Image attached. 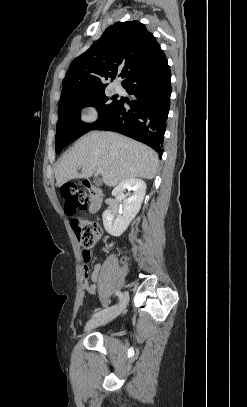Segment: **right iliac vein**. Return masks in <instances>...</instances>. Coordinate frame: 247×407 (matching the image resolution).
<instances>
[{
    "label": "right iliac vein",
    "instance_id": "obj_1",
    "mask_svg": "<svg viewBox=\"0 0 247 407\" xmlns=\"http://www.w3.org/2000/svg\"><path fill=\"white\" fill-rule=\"evenodd\" d=\"M128 300H129L128 293H125V296H124L123 300L120 302V304L117 307H115L114 309H112L108 313H105L103 315H100V316H98L96 318L91 319L86 324L84 330L89 331V330H91V329H93L95 327L102 326V325L108 323L109 321H112L113 319H115L126 308Z\"/></svg>",
    "mask_w": 247,
    "mask_h": 407
}]
</instances>
